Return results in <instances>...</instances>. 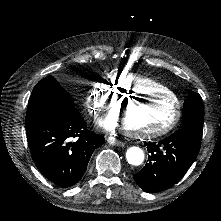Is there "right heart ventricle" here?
Returning <instances> with one entry per match:
<instances>
[{"label": "right heart ventricle", "instance_id": "right-heart-ventricle-1", "mask_svg": "<svg viewBox=\"0 0 221 221\" xmlns=\"http://www.w3.org/2000/svg\"><path fill=\"white\" fill-rule=\"evenodd\" d=\"M108 88L120 90L121 93L129 92V93H148L151 95L161 96V97H174L175 89L174 88H166L161 82L149 78L137 75H130L129 72H109L108 73Z\"/></svg>", "mask_w": 221, "mask_h": 221}]
</instances>
